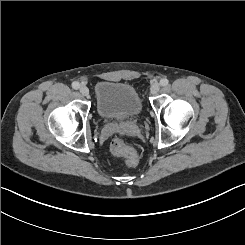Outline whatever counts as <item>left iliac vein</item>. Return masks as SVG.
I'll use <instances>...</instances> for the list:
<instances>
[{"instance_id":"4c4485c4","label":"left iliac vein","mask_w":245,"mask_h":245,"mask_svg":"<svg viewBox=\"0 0 245 245\" xmlns=\"http://www.w3.org/2000/svg\"><path fill=\"white\" fill-rule=\"evenodd\" d=\"M160 90V85L158 83H155L151 86V94H156Z\"/></svg>"}]
</instances>
